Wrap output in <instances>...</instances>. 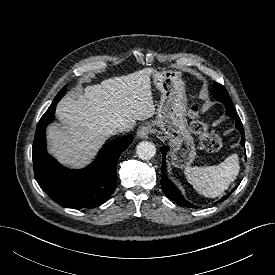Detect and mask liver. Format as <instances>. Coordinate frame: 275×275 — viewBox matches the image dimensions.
<instances>
[{
  "label": "liver",
  "instance_id": "liver-1",
  "mask_svg": "<svg viewBox=\"0 0 275 275\" xmlns=\"http://www.w3.org/2000/svg\"><path fill=\"white\" fill-rule=\"evenodd\" d=\"M152 68L109 78L85 87L82 94L67 96L57 105L63 127L47 128L49 152L72 168L88 164L120 124L136 125L155 114L151 92ZM131 128V129H132Z\"/></svg>",
  "mask_w": 275,
  "mask_h": 275
}]
</instances>
